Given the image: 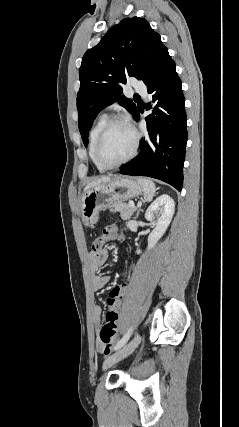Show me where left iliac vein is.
Wrapping results in <instances>:
<instances>
[{"instance_id": "left-iliac-vein-1", "label": "left iliac vein", "mask_w": 239, "mask_h": 427, "mask_svg": "<svg viewBox=\"0 0 239 427\" xmlns=\"http://www.w3.org/2000/svg\"><path fill=\"white\" fill-rule=\"evenodd\" d=\"M141 340L142 337L139 334H136L130 342L124 345L121 349L117 350L113 355H111L104 361L103 369L106 370L117 362L129 356L138 347Z\"/></svg>"}]
</instances>
